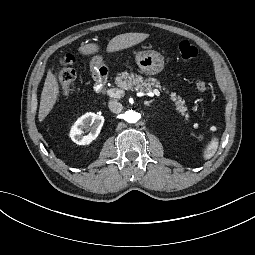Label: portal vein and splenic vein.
<instances>
[{"label": "portal vein and splenic vein", "mask_w": 255, "mask_h": 255, "mask_svg": "<svg viewBox=\"0 0 255 255\" xmlns=\"http://www.w3.org/2000/svg\"><path fill=\"white\" fill-rule=\"evenodd\" d=\"M140 96H143V93H140ZM107 95H109L110 97L113 98H121L122 96H124V91L120 90V89H108L107 90ZM148 96L152 97L154 95L156 96H160V92L158 89H154L153 92H149L147 93Z\"/></svg>", "instance_id": "18ae733b"}]
</instances>
